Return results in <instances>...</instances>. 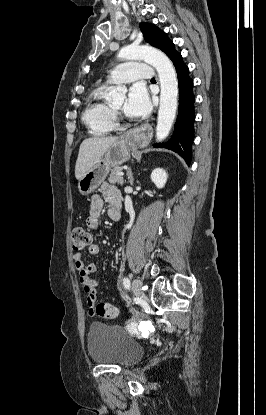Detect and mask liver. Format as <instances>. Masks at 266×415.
I'll use <instances>...</instances> for the list:
<instances>
[{"mask_svg": "<svg viewBox=\"0 0 266 415\" xmlns=\"http://www.w3.org/2000/svg\"><path fill=\"white\" fill-rule=\"evenodd\" d=\"M118 139V137H91L83 140L75 165L76 179L79 180L89 171Z\"/></svg>", "mask_w": 266, "mask_h": 415, "instance_id": "obj_1", "label": "liver"}]
</instances>
